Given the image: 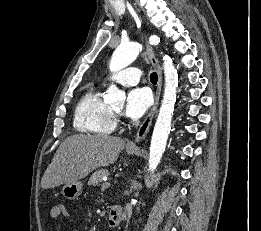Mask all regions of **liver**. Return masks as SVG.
Returning <instances> with one entry per match:
<instances>
[{"mask_svg":"<svg viewBox=\"0 0 261 231\" xmlns=\"http://www.w3.org/2000/svg\"><path fill=\"white\" fill-rule=\"evenodd\" d=\"M125 142L105 134H76L66 138L56 151L41 180L43 189L73 183L98 167L113 164Z\"/></svg>","mask_w":261,"mask_h":231,"instance_id":"obj_1","label":"liver"}]
</instances>
